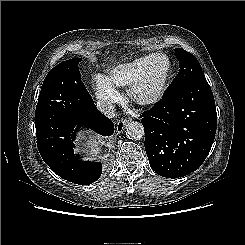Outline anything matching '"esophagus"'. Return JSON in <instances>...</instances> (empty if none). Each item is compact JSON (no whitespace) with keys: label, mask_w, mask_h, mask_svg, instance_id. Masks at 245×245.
<instances>
[{"label":"esophagus","mask_w":245,"mask_h":245,"mask_svg":"<svg viewBox=\"0 0 245 245\" xmlns=\"http://www.w3.org/2000/svg\"><path fill=\"white\" fill-rule=\"evenodd\" d=\"M129 122V120L127 119H121L117 122L116 124V133L120 134L123 132L124 127L126 126V124Z\"/></svg>","instance_id":"1"}]
</instances>
